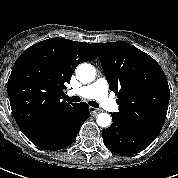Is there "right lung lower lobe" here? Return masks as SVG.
Returning a JSON list of instances; mask_svg holds the SVG:
<instances>
[{
  "label": "right lung lower lobe",
  "mask_w": 178,
  "mask_h": 178,
  "mask_svg": "<svg viewBox=\"0 0 178 178\" xmlns=\"http://www.w3.org/2000/svg\"><path fill=\"white\" fill-rule=\"evenodd\" d=\"M90 117L85 102L76 104L71 114L59 121L40 126L24 135L36 146L51 151L69 146L76 138L82 124Z\"/></svg>",
  "instance_id": "1"
}]
</instances>
